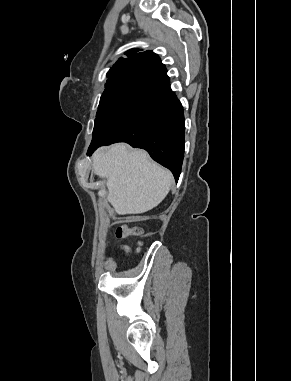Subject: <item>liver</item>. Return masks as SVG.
Listing matches in <instances>:
<instances>
[{"mask_svg": "<svg viewBox=\"0 0 291 381\" xmlns=\"http://www.w3.org/2000/svg\"><path fill=\"white\" fill-rule=\"evenodd\" d=\"M93 171L106 178L107 199L118 215L142 214L167 196L173 176L153 163L144 150L127 144L99 148L93 155Z\"/></svg>", "mask_w": 291, "mask_h": 381, "instance_id": "6515ba94", "label": "liver"}]
</instances>
